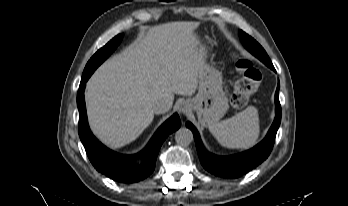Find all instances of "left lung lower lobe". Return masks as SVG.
<instances>
[{"label": "left lung lower lobe", "instance_id": "0a47b994", "mask_svg": "<svg viewBox=\"0 0 348 206\" xmlns=\"http://www.w3.org/2000/svg\"><path fill=\"white\" fill-rule=\"evenodd\" d=\"M278 89L279 87L275 94L276 118L268 135L254 148L241 154L230 157H217L207 153L202 147L196 128L191 123H187V127L193 131L200 162L207 171L217 176L237 178L259 165L269 156L281 120V106L278 99Z\"/></svg>", "mask_w": 348, "mask_h": 206}]
</instances>
